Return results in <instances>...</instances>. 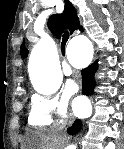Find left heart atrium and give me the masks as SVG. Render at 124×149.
Returning a JSON list of instances; mask_svg holds the SVG:
<instances>
[{
  "mask_svg": "<svg viewBox=\"0 0 124 149\" xmlns=\"http://www.w3.org/2000/svg\"><path fill=\"white\" fill-rule=\"evenodd\" d=\"M76 85L75 84H73V85H71L70 87H69V91L70 92H75L76 91Z\"/></svg>",
  "mask_w": 124,
  "mask_h": 149,
  "instance_id": "obj_1",
  "label": "left heart atrium"
}]
</instances>
